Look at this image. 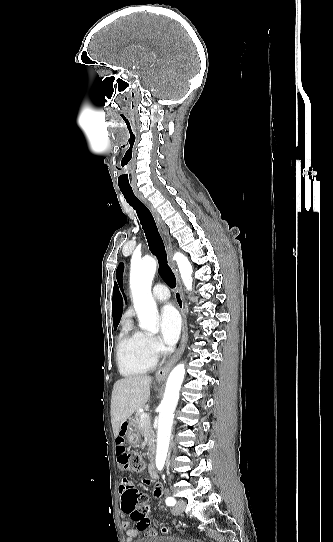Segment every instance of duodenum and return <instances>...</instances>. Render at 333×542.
I'll return each instance as SVG.
<instances>
[{
    "label": "duodenum",
    "instance_id": "1",
    "mask_svg": "<svg viewBox=\"0 0 333 542\" xmlns=\"http://www.w3.org/2000/svg\"><path fill=\"white\" fill-rule=\"evenodd\" d=\"M148 471L151 477H156V469L153 462H150L148 465Z\"/></svg>",
    "mask_w": 333,
    "mask_h": 542
}]
</instances>
